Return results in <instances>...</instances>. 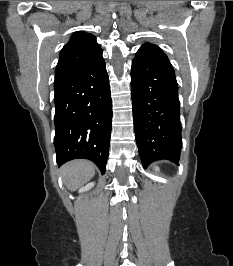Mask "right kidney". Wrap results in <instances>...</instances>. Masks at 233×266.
I'll return each mask as SVG.
<instances>
[{
	"label": "right kidney",
	"instance_id": "right-kidney-1",
	"mask_svg": "<svg viewBox=\"0 0 233 266\" xmlns=\"http://www.w3.org/2000/svg\"><path fill=\"white\" fill-rule=\"evenodd\" d=\"M94 186V183L91 182V183H88L86 186L80 188L79 192H85V191H88L90 190L92 187Z\"/></svg>",
	"mask_w": 233,
	"mask_h": 266
}]
</instances>
